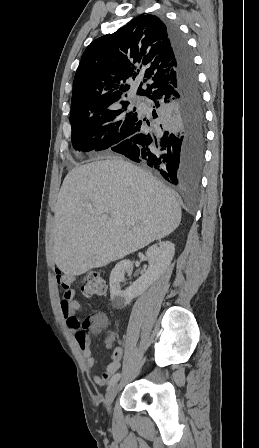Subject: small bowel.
<instances>
[{
  "mask_svg": "<svg viewBox=\"0 0 259 448\" xmlns=\"http://www.w3.org/2000/svg\"><path fill=\"white\" fill-rule=\"evenodd\" d=\"M74 279L75 278L72 275L64 274L60 271L56 272L57 283L63 291V297L60 302L62 315L68 328L75 332V338L85 360L86 368L92 369L95 366V359L90 348V338L82 331V324L76 316L77 312L81 309V304L76 299L75 290L70 288V285L74 282ZM115 338L116 335L111 333L106 337L105 343L109 345L115 340ZM122 356L123 349L121 347L116 348L113 352L112 361L102 373L93 375V381L99 386L105 385L108 380L119 370Z\"/></svg>",
  "mask_w": 259,
  "mask_h": 448,
  "instance_id": "small-bowel-1",
  "label": "small bowel"
}]
</instances>
